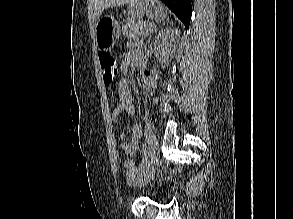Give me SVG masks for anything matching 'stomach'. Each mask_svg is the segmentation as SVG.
I'll list each match as a JSON object with an SVG mask.
<instances>
[{"mask_svg": "<svg viewBox=\"0 0 293 219\" xmlns=\"http://www.w3.org/2000/svg\"><path fill=\"white\" fill-rule=\"evenodd\" d=\"M128 14L134 19L146 16L160 20L166 17L163 5L158 0H140L130 4ZM120 36V24L112 16L101 17L95 25V40L98 49L108 51L116 44Z\"/></svg>", "mask_w": 293, "mask_h": 219, "instance_id": "1", "label": "stomach"}]
</instances>
